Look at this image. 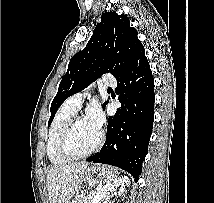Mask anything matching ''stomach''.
<instances>
[{"instance_id": "0dacf381", "label": "stomach", "mask_w": 214, "mask_h": 203, "mask_svg": "<svg viewBox=\"0 0 214 203\" xmlns=\"http://www.w3.org/2000/svg\"><path fill=\"white\" fill-rule=\"evenodd\" d=\"M83 179L88 189L96 184L114 188L117 176L116 171L111 167L94 165L85 169Z\"/></svg>"}]
</instances>
